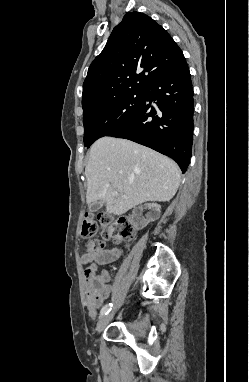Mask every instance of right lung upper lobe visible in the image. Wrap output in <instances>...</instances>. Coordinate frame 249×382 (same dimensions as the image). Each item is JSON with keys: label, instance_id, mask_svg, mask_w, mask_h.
<instances>
[{"label": "right lung upper lobe", "instance_id": "right-lung-upper-lobe-1", "mask_svg": "<svg viewBox=\"0 0 249 382\" xmlns=\"http://www.w3.org/2000/svg\"><path fill=\"white\" fill-rule=\"evenodd\" d=\"M167 31L140 12L125 14L83 83L82 107L145 90L166 70L184 60Z\"/></svg>", "mask_w": 249, "mask_h": 382}]
</instances>
